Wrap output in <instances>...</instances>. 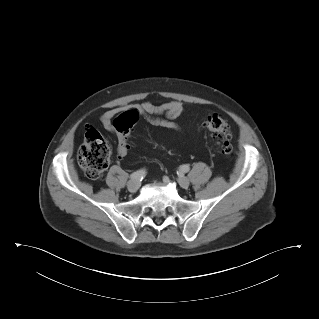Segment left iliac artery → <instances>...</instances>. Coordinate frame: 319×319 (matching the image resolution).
Listing matches in <instances>:
<instances>
[{
	"instance_id": "1",
	"label": "left iliac artery",
	"mask_w": 319,
	"mask_h": 319,
	"mask_svg": "<svg viewBox=\"0 0 319 319\" xmlns=\"http://www.w3.org/2000/svg\"><path fill=\"white\" fill-rule=\"evenodd\" d=\"M189 170H190L189 165H182V166H180V171H181V172L187 173Z\"/></svg>"
}]
</instances>
